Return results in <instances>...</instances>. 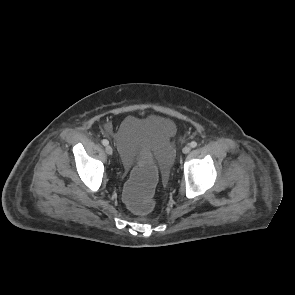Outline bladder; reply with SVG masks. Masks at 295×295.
Returning <instances> with one entry per match:
<instances>
[{
    "mask_svg": "<svg viewBox=\"0 0 295 295\" xmlns=\"http://www.w3.org/2000/svg\"><path fill=\"white\" fill-rule=\"evenodd\" d=\"M174 132L173 122L161 116L126 117L115 133L122 150L117 154L120 168L128 169L135 165V161L148 159L160 166V176H168L173 168L170 140Z\"/></svg>",
    "mask_w": 295,
    "mask_h": 295,
    "instance_id": "obj_1",
    "label": "bladder"
}]
</instances>
